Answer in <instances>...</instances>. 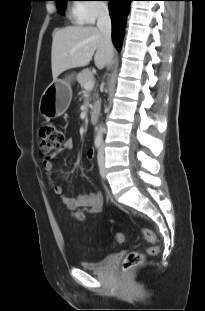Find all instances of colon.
I'll return each instance as SVG.
<instances>
[{
  "label": "colon",
  "mask_w": 205,
  "mask_h": 311,
  "mask_svg": "<svg viewBox=\"0 0 205 311\" xmlns=\"http://www.w3.org/2000/svg\"><path fill=\"white\" fill-rule=\"evenodd\" d=\"M40 153L43 157H48L51 153L57 151L63 141H64V133L61 128L53 123H47L42 126L40 129ZM142 234L146 240L149 242H156V235L150 229L144 228L142 229ZM115 241L118 244L124 242V235L122 233H117L115 236ZM159 252V248L157 246H151L148 249V254L156 255ZM144 260V255L139 252H131L126 259L123 261L124 270H129Z\"/></svg>",
  "instance_id": "5ec220e1"
}]
</instances>
